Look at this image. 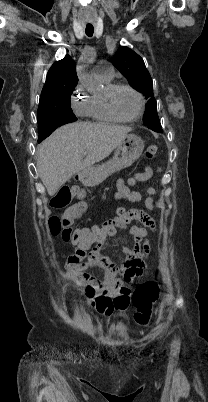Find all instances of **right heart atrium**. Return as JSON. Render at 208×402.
Instances as JSON below:
<instances>
[{"label":"right heart atrium","instance_id":"1","mask_svg":"<svg viewBox=\"0 0 208 402\" xmlns=\"http://www.w3.org/2000/svg\"><path fill=\"white\" fill-rule=\"evenodd\" d=\"M72 109L79 116H86L89 114L91 97L87 95L81 83H78L70 97Z\"/></svg>","mask_w":208,"mask_h":402}]
</instances>
